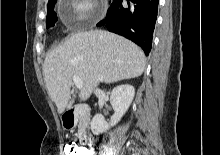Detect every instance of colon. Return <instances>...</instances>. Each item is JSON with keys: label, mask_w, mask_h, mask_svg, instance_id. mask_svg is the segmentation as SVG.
Wrapping results in <instances>:
<instances>
[{"label": "colon", "mask_w": 220, "mask_h": 155, "mask_svg": "<svg viewBox=\"0 0 220 155\" xmlns=\"http://www.w3.org/2000/svg\"><path fill=\"white\" fill-rule=\"evenodd\" d=\"M66 155H90V152H86L84 146H79L75 141H69L64 147Z\"/></svg>", "instance_id": "colon-1"}]
</instances>
